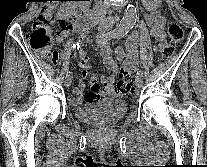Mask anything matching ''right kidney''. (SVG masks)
I'll return each mask as SVG.
<instances>
[{
  "label": "right kidney",
  "mask_w": 207,
  "mask_h": 167,
  "mask_svg": "<svg viewBox=\"0 0 207 167\" xmlns=\"http://www.w3.org/2000/svg\"><path fill=\"white\" fill-rule=\"evenodd\" d=\"M65 14V11H64V7H60V10L58 12V15L61 17Z\"/></svg>",
  "instance_id": "right-kidney-1"
}]
</instances>
